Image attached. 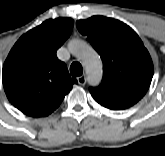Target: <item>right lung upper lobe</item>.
I'll return each instance as SVG.
<instances>
[{
	"instance_id": "cb5924a9",
	"label": "right lung upper lobe",
	"mask_w": 165,
	"mask_h": 156,
	"mask_svg": "<svg viewBox=\"0 0 165 156\" xmlns=\"http://www.w3.org/2000/svg\"><path fill=\"white\" fill-rule=\"evenodd\" d=\"M73 25L71 18L48 19L21 36L11 49L2 70L3 86L9 101L24 114L49 115L77 83L56 56Z\"/></svg>"
}]
</instances>
